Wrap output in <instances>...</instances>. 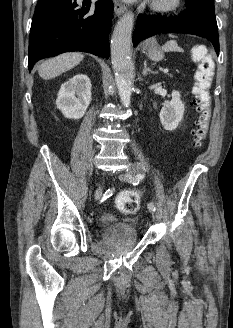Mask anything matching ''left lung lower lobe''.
I'll return each mask as SVG.
<instances>
[{
  "mask_svg": "<svg viewBox=\"0 0 233 328\" xmlns=\"http://www.w3.org/2000/svg\"><path fill=\"white\" fill-rule=\"evenodd\" d=\"M186 9L178 16H145L137 18L133 45L160 33H184L207 38L219 54L218 27L214 8L195 0L186 1Z\"/></svg>",
  "mask_w": 233,
  "mask_h": 328,
  "instance_id": "0a47b994",
  "label": "left lung lower lobe"
}]
</instances>
